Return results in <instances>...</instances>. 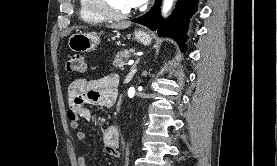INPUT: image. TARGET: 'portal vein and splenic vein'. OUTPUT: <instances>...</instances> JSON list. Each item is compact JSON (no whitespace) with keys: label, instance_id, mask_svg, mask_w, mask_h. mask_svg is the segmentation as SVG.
<instances>
[{"label":"portal vein and splenic vein","instance_id":"18ae733b","mask_svg":"<svg viewBox=\"0 0 277 166\" xmlns=\"http://www.w3.org/2000/svg\"><path fill=\"white\" fill-rule=\"evenodd\" d=\"M133 63H134V60H129L127 64L132 65Z\"/></svg>","mask_w":277,"mask_h":166}]
</instances>
